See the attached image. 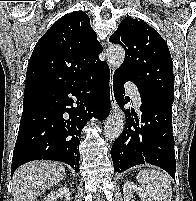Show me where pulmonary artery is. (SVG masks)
Returning a JSON list of instances; mask_svg holds the SVG:
<instances>
[{"label":"pulmonary artery","mask_w":196,"mask_h":201,"mask_svg":"<svg viewBox=\"0 0 196 201\" xmlns=\"http://www.w3.org/2000/svg\"><path fill=\"white\" fill-rule=\"evenodd\" d=\"M126 87L130 91V95H131V97H132V99L134 101L135 106L139 108L140 105H141V98H140V94H139L137 88L132 83H127Z\"/></svg>","instance_id":"1"}]
</instances>
